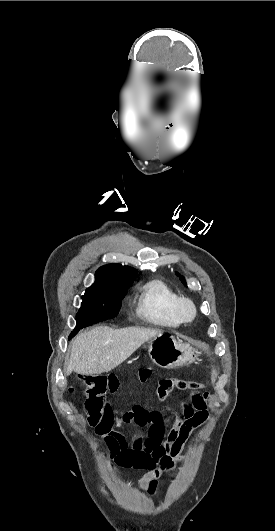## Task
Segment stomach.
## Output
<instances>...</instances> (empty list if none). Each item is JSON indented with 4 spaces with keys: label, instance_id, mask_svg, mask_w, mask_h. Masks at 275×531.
I'll return each instance as SVG.
<instances>
[{
    "label": "stomach",
    "instance_id": "obj_1",
    "mask_svg": "<svg viewBox=\"0 0 275 531\" xmlns=\"http://www.w3.org/2000/svg\"><path fill=\"white\" fill-rule=\"evenodd\" d=\"M148 355L162 369L188 367L199 357L198 351L189 343H178L170 333H160L147 341Z\"/></svg>",
    "mask_w": 275,
    "mask_h": 531
}]
</instances>
